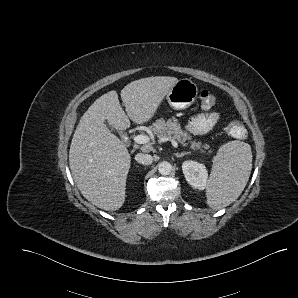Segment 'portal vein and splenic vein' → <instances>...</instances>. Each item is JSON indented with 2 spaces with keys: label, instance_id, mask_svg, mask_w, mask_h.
I'll use <instances>...</instances> for the list:
<instances>
[{
  "label": "portal vein and splenic vein",
  "instance_id": "1",
  "mask_svg": "<svg viewBox=\"0 0 298 298\" xmlns=\"http://www.w3.org/2000/svg\"><path fill=\"white\" fill-rule=\"evenodd\" d=\"M133 140L137 144H146V143L150 142L149 136L148 135H142V134L135 136L133 138ZM161 140H162V142L170 141L173 147L178 148V142L175 139H172L171 137H167V138H164V139H161Z\"/></svg>",
  "mask_w": 298,
  "mask_h": 298
}]
</instances>
